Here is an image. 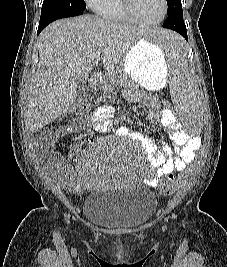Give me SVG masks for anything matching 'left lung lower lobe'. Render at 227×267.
<instances>
[{"mask_svg":"<svg viewBox=\"0 0 227 267\" xmlns=\"http://www.w3.org/2000/svg\"><path fill=\"white\" fill-rule=\"evenodd\" d=\"M163 27L180 33L186 40H188L187 29L183 20L182 10L168 15L167 19L163 23Z\"/></svg>","mask_w":227,"mask_h":267,"instance_id":"0a47b994","label":"left lung lower lobe"}]
</instances>
